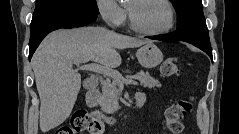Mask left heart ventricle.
<instances>
[{"label": "left heart ventricle", "mask_w": 239, "mask_h": 134, "mask_svg": "<svg viewBox=\"0 0 239 134\" xmlns=\"http://www.w3.org/2000/svg\"><path fill=\"white\" fill-rule=\"evenodd\" d=\"M126 5L130 8L136 23L145 29L158 30L165 27L168 22V10L159 1L130 0L126 3Z\"/></svg>", "instance_id": "left-heart-ventricle-1"}]
</instances>
